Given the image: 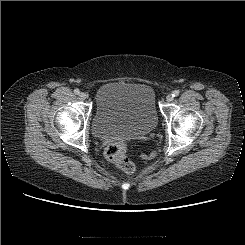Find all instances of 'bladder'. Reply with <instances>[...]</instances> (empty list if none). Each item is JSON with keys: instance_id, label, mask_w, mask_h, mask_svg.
<instances>
[{"instance_id": "1", "label": "bladder", "mask_w": 245, "mask_h": 245, "mask_svg": "<svg viewBox=\"0 0 245 245\" xmlns=\"http://www.w3.org/2000/svg\"><path fill=\"white\" fill-rule=\"evenodd\" d=\"M158 124L154 90L146 84L110 81L96 93L93 131L99 138H141Z\"/></svg>"}]
</instances>
